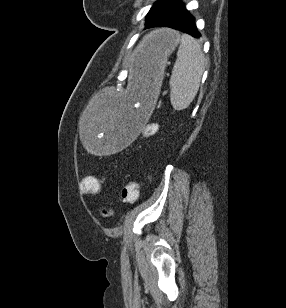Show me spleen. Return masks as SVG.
<instances>
[{
	"label": "spleen",
	"instance_id": "1",
	"mask_svg": "<svg viewBox=\"0 0 286 308\" xmlns=\"http://www.w3.org/2000/svg\"><path fill=\"white\" fill-rule=\"evenodd\" d=\"M205 68L200 44L189 35H182L170 78V101L174 110L189 107L194 100Z\"/></svg>",
	"mask_w": 286,
	"mask_h": 308
}]
</instances>
